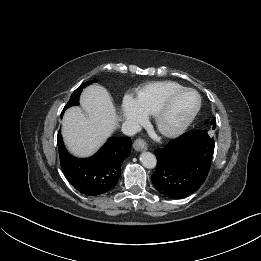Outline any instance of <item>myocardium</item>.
<instances>
[{
	"label": "myocardium",
	"instance_id": "1",
	"mask_svg": "<svg viewBox=\"0 0 261 261\" xmlns=\"http://www.w3.org/2000/svg\"><path fill=\"white\" fill-rule=\"evenodd\" d=\"M186 92H193L194 94H196L197 98H198V102H197V106L194 109V111L179 125L173 127V128H164L162 126V121L164 116L166 115L167 111L169 110L171 104L173 103V101L180 96L183 93ZM201 105H202V98L201 95L199 94V92L193 88H181L173 93H171L164 101L163 103L159 106V108L157 109V111L155 112V114L153 115L154 117V125L155 127L158 129V131L166 136V137H173V136H177L180 135L181 133H183L194 121V119L196 118V116L198 115L200 109H201Z\"/></svg>",
	"mask_w": 261,
	"mask_h": 261
}]
</instances>
